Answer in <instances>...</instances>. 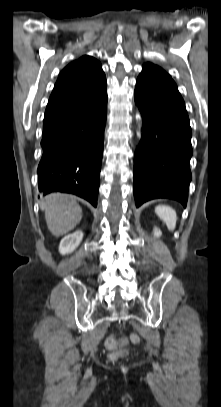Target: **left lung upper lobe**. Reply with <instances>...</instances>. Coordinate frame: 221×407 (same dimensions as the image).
Instances as JSON below:
<instances>
[{"mask_svg":"<svg viewBox=\"0 0 221 407\" xmlns=\"http://www.w3.org/2000/svg\"><path fill=\"white\" fill-rule=\"evenodd\" d=\"M138 79H145L150 81H173L162 68L152 63H146L143 65L142 73L139 75Z\"/></svg>","mask_w":221,"mask_h":407,"instance_id":"obj_1","label":"left lung upper lobe"}]
</instances>
